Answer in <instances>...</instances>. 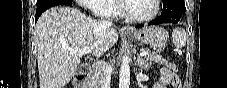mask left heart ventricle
I'll list each match as a JSON object with an SVG mask.
<instances>
[{
	"mask_svg": "<svg viewBox=\"0 0 227 88\" xmlns=\"http://www.w3.org/2000/svg\"><path fill=\"white\" fill-rule=\"evenodd\" d=\"M125 10L128 14L138 17H144L152 14L154 11L153 0H131L125 3Z\"/></svg>",
	"mask_w": 227,
	"mask_h": 88,
	"instance_id": "1",
	"label": "left heart ventricle"
}]
</instances>
